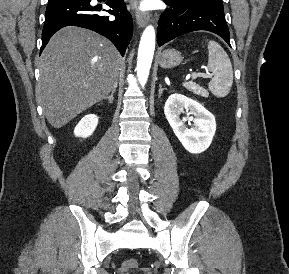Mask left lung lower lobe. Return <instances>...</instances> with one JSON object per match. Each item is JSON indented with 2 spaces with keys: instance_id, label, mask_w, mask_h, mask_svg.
<instances>
[{
  "instance_id": "1",
  "label": "left lung lower lobe",
  "mask_w": 289,
  "mask_h": 274,
  "mask_svg": "<svg viewBox=\"0 0 289 274\" xmlns=\"http://www.w3.org/2000/svg\"><path fill=\"white\" fill-rule=\"evenodd\" d=\"M169 6L160 16L157 28L158 45L183 34L206 30L221 36L230 46V34L224 16L223 4L209 1H184Z\"/></svg>"
}]
</instances>
